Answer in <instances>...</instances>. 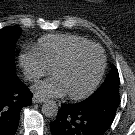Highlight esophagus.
Instances as JSON below:
<instances>
[{
	"label": "esophagus",
	"mask_w": 135,
	"mask_h": 135,
	"mask_svg": "<svg viewBox=\"0 0 135 135\" xmlns=\"http://www.w3.org/2000/svg\"><path fill=\"white\" fill-rule=\"evenodd\" d=\"M45 98L39 97L37 95H34L32 98L33 103H42L45 102Z\"/></svg>",
	"instance_id": "1"
}]
</instances>
